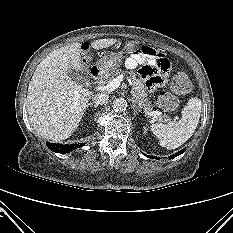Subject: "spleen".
Returning a JSON list of instances; mask_svg holds the SVG:
<instances>
[{
    "mask_svg": "<svg viewBox=\"0 0 233 233\" xmlns=\"http://www.w3.org/2000/svg\"><path fill=\"white\" fill-rule=\"evenodd\" d=\"M201 106V100L198 97H192L182 109V116L178 121L152 124L151 131L159 139V144L169 150L183 145L197 128Z\"/></svg>",
    "mask_w": 233,
    "mask_h": 233,
    "instance_id": "3e777b00",
    "label": "spleen"
}]
</instances>
